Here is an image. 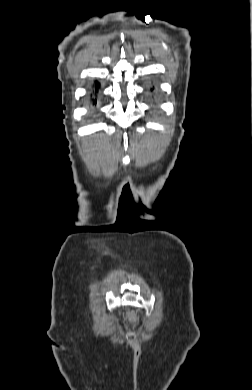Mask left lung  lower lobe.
Here are the masks:
<instances>
[{
	"instance_id": "left-lung-lower-lobe-1",
	"label": "left lung lower lobe",
	"mask_w": 252,
	"mask_h": 390,
	"mask_svg": "<svg viewBox=\"0 0 252 390\" xmlns=\"http://www.w3.org/2000/svg\"><path fill=\"white\" fill-rule=\"evenodd\" d=\"M150 90L153 92V90H154V87H152Z\"/></svg>"
}]
</instances>
